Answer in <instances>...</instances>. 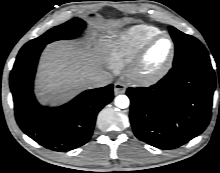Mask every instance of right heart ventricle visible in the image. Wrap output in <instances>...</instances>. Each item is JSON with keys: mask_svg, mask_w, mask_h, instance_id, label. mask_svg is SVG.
Masks as SVG:
<instances>
[{"mask_svg": "<svg viewBox=\"0 0 220 173\" xmlns=\"http://www.w3.org/2000/svg\"><path fill=\"white\" fill-rule=\"evenodd\" d=\"M159 33L160 30L154 26L140 24L112 34L105 41L108 65L117 72L125 70L140 47Z\"/></svg>", "mask_w": 220, "mask_h": 173, "instance_id": "1", "label": "right heart ventricle"}]
</instances>
